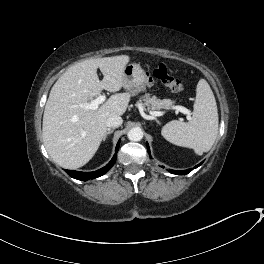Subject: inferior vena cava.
Masks as SVG:
<instances>
[{
  "instance_id": "inferior-vena-cava-1",
  "label": "inferior vena cava",
  "mask_w": 264,
  "mask_h": 264,
  "mask_svg": "<svg viewBox=\"0 0 264 264\" xmlns=\"http://www.w3.org/2000/svg\"><path fill=\"white\" fill-rule=\"evenodd\" d=\"M123 123V120L120 116L114 115L107 119L106 126L109 128H117L121 126Z\"/></svg>"
}]
</instances>
